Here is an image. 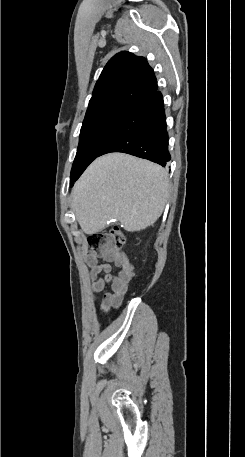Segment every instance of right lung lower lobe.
<instances>
[{"label":"right lung lower lobe","mask_w":245,"mask_h":457,"mask_svg":"<svg viewBox=\"0 0 245 457\" xmlns=\"http://www.w3.org/2000/svg\"><path fill=\"white\" fill-rule=\"evenodd\" d=\"M123 152L165 166L170 161L162 94L154 91L137 102L99 156Z\"/></svg>","instance_id":"right-lung-lower-lobe-1"}]
</instances>
